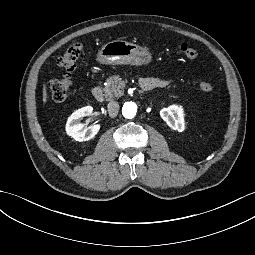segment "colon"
<instances>
[{
	"mask_svg": "<svg viewBox=\"0 0 255 255\" xmlns=\"http://www.w3.org/2000/svg\"><path fill=\"white\" fill-rule=\"evenodd\" d=\"M179 49L189 59L195 58L198 54L197 50L187 43H181ZM82 51V45L75 43L68 47L57 59V65L63 72L59 78L51 80L49 84L51 97L55 102H62L67 98L72 84L71 75L78 64ZM213 88L214 85L211 82H202L200 84L202 91H210Z\"/></svg>",
	"mask_w": 255,
	"mask_h": 255,
	"instance_id": "1",
	"label": "colon"
}]
</instances>
